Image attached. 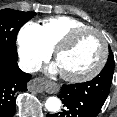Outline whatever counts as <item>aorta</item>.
<instances>
[{"mask_svg": "<svg viewBox=\"0 0 117 117\" xmlns=\"http://www.w3.org/2000/svg\"><path fill=\"white\" fill-rule=\"evenodd\" d=\"M45 107L50 112H57L61 107V100L57 97H49L45 102Z\"/></svg>", "mask_w": 117, "mask_h": 117, "instance_id": "aorta-1", "label": "aorta"}]
</instances>
